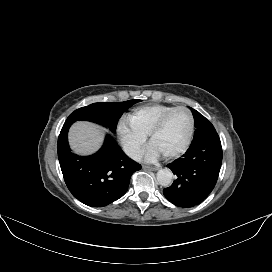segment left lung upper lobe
<instances>
[{
	"mask_svg": "<svg viewBox=\"0 0 272 272\" xmlns=\"http://www.w3.org/2000/svg\"><path fill=\"white\" fill-rule=\"evenodd\" d=\"M195 120V133L194 138L191 144L201 141L213 134H216V130L213 125L198 111L193 108H190Z\"/></svg>",
	"mask_w": 272,
	"mask_h": 272,
	"instance_id": "1",
	"label": "left lung upper lobe"
}]
</instances>
